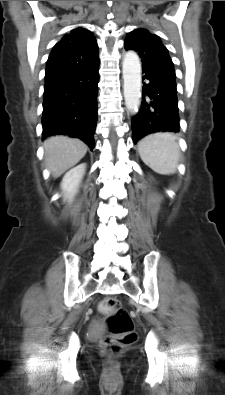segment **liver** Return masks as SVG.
Wrapping results in <instances>:
<instances>
[{
    "instance_id": "liver-1",
    "label": "liver",
    "mask_w": 225,
    "mask_h": 395,
    "mask_svg": "<svg viewBox=\"0 0 225 395\" xmlns=\"http://www.w3.org/2000/svg\"><path fill=\"white\" fill-rule=\"evenodd\" d=\"M46 168L58 178L75 166L86 154L87 145L76 138L53 136L43 143Z\"/></svg>"
}]
</instances>
